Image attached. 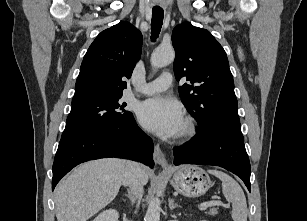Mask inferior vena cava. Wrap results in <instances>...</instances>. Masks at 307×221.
Here are the masks:
<instances>
[{
	"label": "inferior vena cava",
	"mask_w": 307,
	"mask_h": 221,
	"mask_svg": "<svg viewBox=\"0 0 307 221\" xmlns=\"http://www.w3.org/2000/svg\"><path fill=\"white\" fill-rule=\"evenodd\" d=\"M135 165L136 163L134 162H126V173L123 179V185L130 188V191L134 194L139 203L143 196L144 189L140 178L134 172Z\"/></svg>",
	"instance_id": "1"
}]
</instances>
